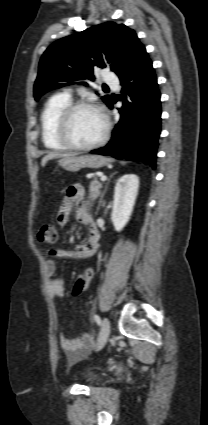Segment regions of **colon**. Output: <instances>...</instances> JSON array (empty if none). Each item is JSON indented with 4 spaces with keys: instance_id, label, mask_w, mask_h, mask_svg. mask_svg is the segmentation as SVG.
<instances>
[{
    "instance_id": "obj_1",
    "label": "colon",
    "mask_w": 208,
    "mask_h": 425,
    "mask_svg": "<svg viewBox=\"0 0 208 425\" xmlns=\"http://www.w3.org/2000/svg\"><path fill=\"white\" fill-rule=\"evenodd\" d=\"M57 230L53 224H44L39 232V239L45 244H54L57 241ZM96 272L93 269L86 271L77 279L73 294L80 295L88 288L94 287L97 283Z\"/></svg>"
}]
</instances>
